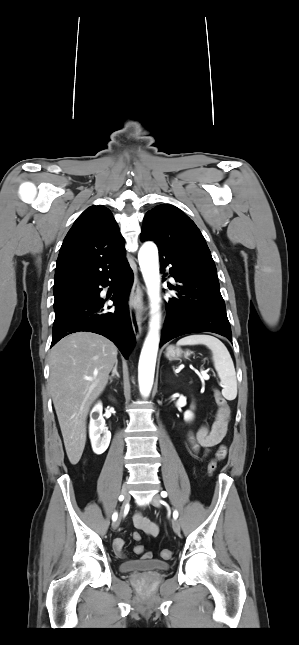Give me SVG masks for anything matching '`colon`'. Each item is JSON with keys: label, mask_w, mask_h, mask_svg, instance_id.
<instances>
[{"label": "colon", "mask_w": 299, "mask_h": 645, "mask_svg": "<svg viewBox=\"0 0 299 645\" xmlns=\"http://www.w3.org/2000/svg\"><path fill=\"white\" fill-rule=\"evenodd\" d=\"M214 398H215V401H216L217 406L219 408V412H220V414L222 416V419H223L224 423L227 424L228 420H229V415H230L229 404H228L227 400L225 399V397L222 395V393L217 389L214 390ZM216 468H217V460L212 459L209 462L208 467H207L209 475H213L215 470H216ZM140 538H141L140 534H134V539L136 541L140 540ZM134 552L136 554H142L144 552V547L142 545H137L134 548ZM161 556L164 559H170L172 557V552L169 549H164V550L161 551Z\"/></svg>", "instance_id": "1"}]
</instances>
